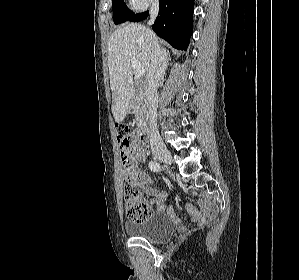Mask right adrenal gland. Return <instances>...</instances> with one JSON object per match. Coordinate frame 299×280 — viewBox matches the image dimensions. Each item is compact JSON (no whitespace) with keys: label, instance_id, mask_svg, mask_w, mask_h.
I'll use <instances>...</instances> for the list:
<instances>
[{"label":"right adrenal gland","instance_id":"obj_1","mask_svg":"<svg viewBox=\"0 0 299 280\" xmlns=\"http://www.w3.org/2000/svg\"><path fill=\"white\" fill-rule=\"evenodd\" d=\"M166 59H167V65H169V62L171 61L169 51L166 52Z\"/></svg>","mask_w":299,"mask_h":280}]
</instances>
